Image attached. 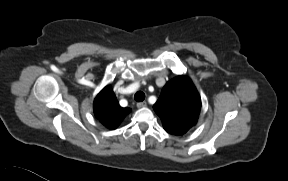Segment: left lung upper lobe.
<instances>
[{
  "label": "left lung upper lobe",
  "instance_id": "1",
  "mask_svg": "<svg viewBox=\"0 0 288 181\" xmlns=\"http://www.w3.org/2000/svg\"><path fill=\"white\" fill-rule=\"evenodd\" d=\"M153 108L168 133L183 135L198 120L201 98L192 81L180 75L164 86Z\"/></svg>",
  "mask_w": 288,
  "mask_h": 181
}]
</instances>
